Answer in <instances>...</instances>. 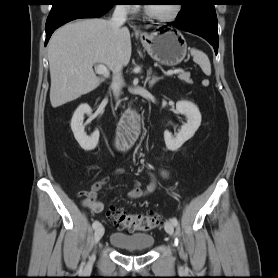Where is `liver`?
Instances as JSON below:
<instances>
[{
	"label": "liver",
	"mask_w": 278,
	"mask_h": 278,
	"mask_svg": "<svg viewBox=\"0 0 278 278\" xmlns=\"http://www.w3.org/2000/svg\"><path fill=\"white\" fill-rule=\"evenodd\" d=\"M131 57V37L126 27L114 30L105 19H83L54 32L48 44L51 76L50 102L53 108L76 100L103 81L93 63L114 71Z\"/></svg>",
	"instance_id": "obj_1"
}]
</instances>
